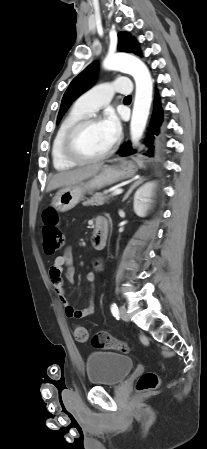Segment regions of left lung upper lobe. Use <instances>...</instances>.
Listing matches in <instances>:
<instances>
[{"label": "left lung upper lobe", "mask_w": 207, "mask_h": 449, "mask_svg": "<svg viewBox=\"0 0 207 449\" xmlns=\"http://www.w3.org/2000/svg\"><path fill=\"white\" fill-rule=\"evenodd\" d=\"M118 50L139 55L138 42L127 32L118 34ZM98 64L96 62L87 66L77 75L67 88L61 102L57 122H59L71 103L83 92L91 88L97 78Z\"/></svg>", "instance_id": "1"}]
</instances>
